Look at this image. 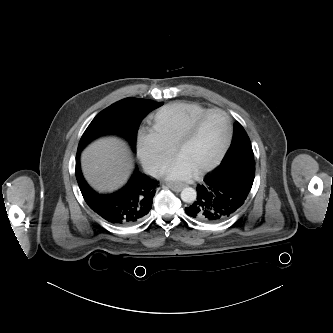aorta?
<instances>
[{
  "label": "aorta",
  "instance_id": "762f6f07",
  "mask_svg": "<svg viewBox=\"0 0 333 333\" xmlns=\"http://www.w3.org/2000/svg\"><path fill=\"white\" fill-rule=\"evenodd\" d=\"M196 190L191 187H186L181 192V199L186 203H193L196 200Z\"/></svg>",
  "mask_w": 333,
  "mask_h": 333
}]
</instances>
